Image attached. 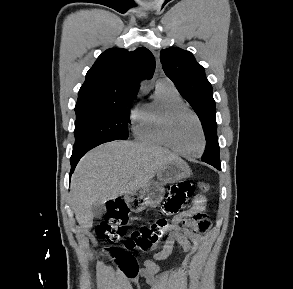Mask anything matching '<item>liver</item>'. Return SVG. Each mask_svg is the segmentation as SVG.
Wrapping results in <instances>:
<instances>
[{
    "label": "liver",
    "instance_id": "liver-1",
    "mask_svg": "<svg viewBox=\"0 0 293 289\" xmlns=\"http://www.w3.org/2000/svg\"><path fill=\"white\" fill-rule=\"evenodd\" d=\"M181 160L162 147L131 141H113L89 151L71 180V203L79 225L92 227V205L133 194L167 163Z\"/></svg>",
    "mask_w": 293,
    "mask_h": 289
}]
</instances>
